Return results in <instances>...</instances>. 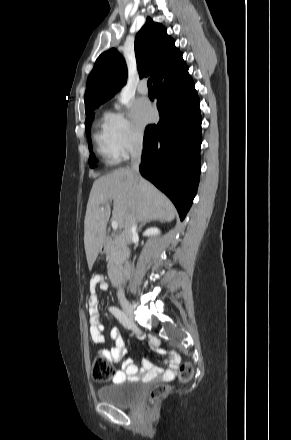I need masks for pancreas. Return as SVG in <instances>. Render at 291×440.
<instances>
[{"instance_id":"1","label":"pancreas","mask_w":291,"mask_h":440,"mask_svg":"<svg viewBox=\"0 0 291 440\" xmlns=\"http://www.w3.org/2000/svg\"><path fill=\"white\" fill-rule=\"evenodd\" d=\"M123 241L120 236L106 237L104 244V251L109 257L108 266L117 264L122 256L123 251Z\"/></svg>"}]
</instances>
